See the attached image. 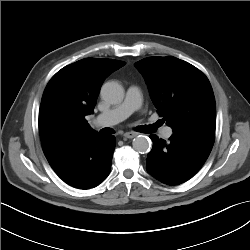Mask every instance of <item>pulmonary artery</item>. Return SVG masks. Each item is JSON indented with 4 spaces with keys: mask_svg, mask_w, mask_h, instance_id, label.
<instances>
[{
    "mask_svg": "<svg viewBox=\"0 0 250 250\" xmlns=\"http://www.w3.org/2000/svg\"><path fill=\"white\" fill-rule=\"evenodd\" d=\"M142 103V91L136 85H131L127 89L126 97L124 101L111 108L108 111L100 113L95 118V123L98 126H112L115 125L127 117H129L134 111L138 110ZM172 135L171 127H164L162 129V136L166 139Z\"/></svg>",
    "mask_w": 250,
    "mask_h": 250,
    "instance_id": "e3ab8cb5",
    "label": "pulmonary artery"
}]
</instances>
